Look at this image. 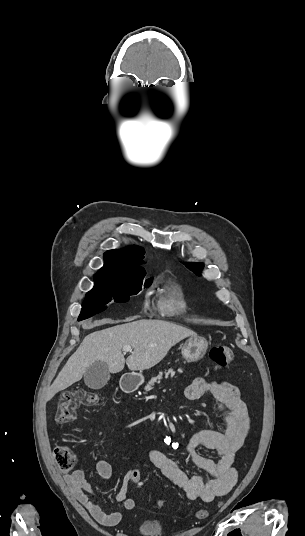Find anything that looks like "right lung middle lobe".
<instances>
[{"mask_svg":"<svg viewBox=\"0 0 305 536\" xmlns=\"http://www.w3.org/2000/svg\"><path fill=\"white\" fill-rule=\"evenodd\" d=\"M94 281L93 289L86 294L82 304L79 321L104 311L107 308L106 304L111 301L127 302L131 295L139 293L142 287H149L152 283V279L146 281L143 279Z\"/></svg>","mask_w":305,"mask_h":536,"instance_id":"1","label":"right lung middle lobe"}]
</instances>
